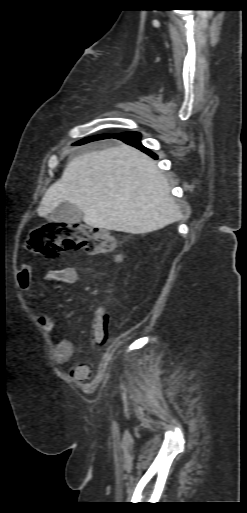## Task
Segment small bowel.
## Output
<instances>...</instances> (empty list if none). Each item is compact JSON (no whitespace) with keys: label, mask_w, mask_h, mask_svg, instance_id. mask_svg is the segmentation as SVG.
<instances>
[{"label":"small bowel","mask_w":247,"mask_h":513,"mask_svg":"<svg viewBox=\"0 0 247 513\" xmlns=\"http://www.w3.org/2000/svg\"><path fill=\"white\" fill-rule=\"evenodd\" d=\"M33 270L30 265H24L19 270L17 280L20 288L24 292H28L32 281ZM79 279L78 272L73 267H66L59 270H54L49 273L45 278L44 282L47 284L54 283H65L73 284ZM37 322L41 328L49 336L53 334L55 329V322L53 318L46 313L37 314ZM74 353V347L70 340L59 339L53 342V357L55 362L58 364H64L68 362ZM91 370L88 364L81 362L71 372V377L76 381L86 380L90 376Z\"/></svg>","instance_id":"c3829d8e"}]
</instances>
